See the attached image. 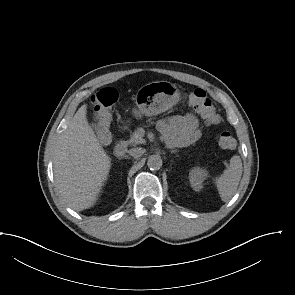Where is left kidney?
<instances>
[{"label": "left kidney", "instance_id": "obj_1", "mask_svg": "<svg viewBox=\"0 0 295 295\" xmlns=\"http://www.w3.org/2000/svg\"><path fill=\"white\" fill-rule=\"evenodd\" d=\"M207 171L200 167H194L189 172V180L191 183V187L195 191H200L202 189V183L207 176Z\"/></svg>", "mask_w": 295, "mask_h": 295}]
</instances>
